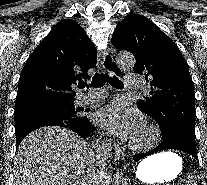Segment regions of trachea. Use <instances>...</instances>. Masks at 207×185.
<instances>
[{"mask_svg":"<svg viewBox=\"0 0 207 185\" xmlns=\"http://www.w3.org/2000/svg\"><path fill=\"white\" fill-rule=\"evenodd\" d=\"M106 82L110 83V85H112V87L115 88L124 87L123 83L116 76L110 78L109 75L104 73H101L100 75L99 74L94 75L91 85L94 87H103V85H105ZM84 86L87 85L84 83L78 85L79 88H84Z\"/></svg>","mask_w":207,"mask_h":185,"instance_id":"obj_1","label":"trachea"}]
</instances>
